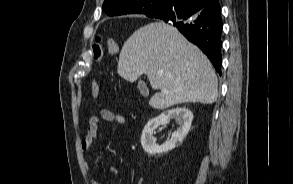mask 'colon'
Segmentation results:
<instances>
[{
  "mask_svg": "<svg viewBox=\"0 0 293 184\" xmlns=\"http://www.w3.org/2000/svg\"><path fill=\"white\" fill-rule=\"evenodd\" d=\"M92 56L95 63L98 65L101 63L104 52L108 51L112 55H116L119 51L117 43L112 39H104L102 37H96L92 44ZM99 94V83L96 79L92 80L91 95L92 98H97Z\"/></svg>",
  "mask_w": 293,
  "mask_h": 184,
  "instance_id": "5ec220e1",
  "label": "colon"
}]
</instances>
